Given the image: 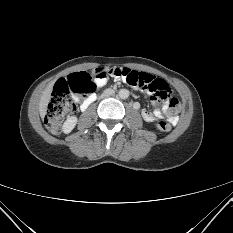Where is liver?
I'll list each match as a JSON object with an SVG mask.
<instances>
[{
    "instance_id": "obj_1",
    "label": "liver",
    "mask_w": 233,
    "mask_h": 233,
    "mask_svg": "<svg viewBox=\"0 0 233 233\" xmlns=\"http://www.w3.org/2000/svg\"><path fill=\"white\" fill-rule=\"evenodd\" d=\"M53 84H54V82H51L50 84H48V86L46 87V89L44 90V92L40 98L39 113H40L41 118H44V116L47 113V107H48V104H49L50 99H51V92L53 89Z\"/></svg>"
}]
</instances>
